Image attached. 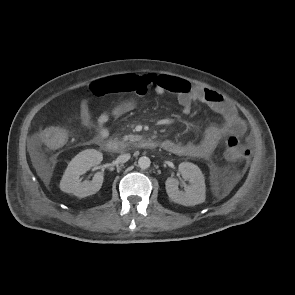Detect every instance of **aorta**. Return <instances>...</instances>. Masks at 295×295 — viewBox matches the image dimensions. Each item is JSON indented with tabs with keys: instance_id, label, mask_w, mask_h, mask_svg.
Returning a JSON list of instances; mask_svg holds the SVG:
<instances>
[{
	"instance_id": "762f6f07",
	"label": "aorta",
	"mask_w": 295,
	"mask_h": 295,
	"mask_svg": "<svg viewBox=\"0 0 295 295\" xmlns=\"http://www.w3.org/2000/svg\"><path fill=\"white\" fill-rule=\"evenodd\" d=\"M150 164H151V161L148 157L146 156H142L139 158L138 160V166L141 168V169H147L150 167Z\"/></svg>"
}]
</instances>
